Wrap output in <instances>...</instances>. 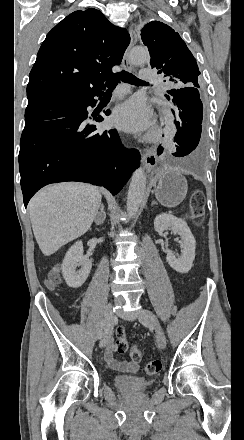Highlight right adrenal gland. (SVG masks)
I'll return each instance as SVG.
<instances>
[{
	"mask_svg": "<svg viewBox=\"0 0 244 440\" xmlns=\"http://www.w3.org/2000/svg\"><path fill=\"white\" fill-rule=\"evenodd\" d=\"M104 208V204H100V212H97L96 218L97 216H101V214H103L104 218H106V212H104ZM101 224H103V222H101ZM98 226H100V224H98Z\"/></svg>",
	"mask_w": 244,
	"mask_h": 440,
	"instance_id": "obj_1",
	"label": "right adrenal gland"
}]
</instances>
